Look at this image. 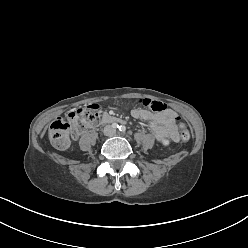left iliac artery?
<instances>
[{"instance_id": "left-iliac-artery-1", "label": "left iliac artery", "mask_w": 248, "mask_h": 248, "mask_svg": "<svg viewBox=\"0 0 248 248\" xmlns=\"http://www.w3.org/2000/svg\"><path fill=\"white\" fill-rule=\"evenodd\" d=\"M119 130H120L121 132H125V131H126V127H125L124 125H121V126L119 127Z\"/></svg>"}]
</instances>
